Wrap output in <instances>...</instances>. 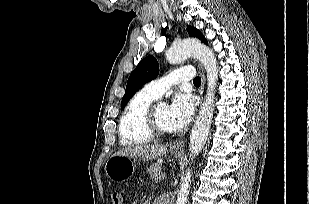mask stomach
<instances>
[{"instance_id": "obj_1", "label": "stomach", "mask_w": 309, "mask_h": 204, "mask_svg": "<svg viewBox=\"0 0 309 204\" xmlns=\"http://www.w3.org/2000/svg\"><path fill=\"white\" fill-rule=\"evenodd\" d=\"M182 151L170 150L171 155L178 157ZM136 162L124 155H113L105 164V172L112 181H123L131 177L135 171Z\"/></svg>"}]
</instances>
